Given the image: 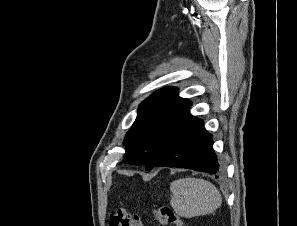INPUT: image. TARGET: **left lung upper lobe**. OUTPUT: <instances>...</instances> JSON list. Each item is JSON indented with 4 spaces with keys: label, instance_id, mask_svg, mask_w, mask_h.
I'll list each match as a JSON object with an SVG mask.
<instances>
[{
    "label": "left lung upper lobe",
    "instance_id": "left-lung-upper-lobe-1",
    "mask_svg": "<svg viewBox=\"0 0 297 226\" xmlns=\"http://www.w3.org/2000/svg\"><path fill=\"white\" fill-rule=\"evenodd\" d=\"M191 102L167 87L140 104L136 120L127 132L124 163L145 164L151 170L172 144L180 127L190 116Z\"/></svg>",
    "mask_w": 297,
    "mask_h": 226
}]
</instances>
